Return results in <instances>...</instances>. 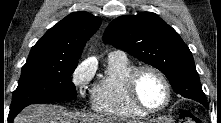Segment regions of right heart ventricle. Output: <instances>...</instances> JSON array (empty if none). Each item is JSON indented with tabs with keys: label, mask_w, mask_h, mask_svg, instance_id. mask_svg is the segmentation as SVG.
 <instances>
[{
	"label": "right heart ventricle",
	"mask_w": 221,
	"mask_h": 123,
	"mask_svg": "<svg viewBox=\"0 0 221 123\" xmlns=\"http://www.w3.org/2000/svg\"><path fill=\"white\" fill-rule=\"evenodd\" d=\"M136 67L126 57H109L104 77L94 86L92 108L98 114L111 119H141L146 113L131 102L126 81Z\"/></svg>",
	"instance_id": "1"
}]
</instances>
